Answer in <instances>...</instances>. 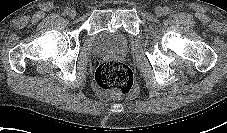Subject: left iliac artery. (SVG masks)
<instances>
[{
	"label": "left iliac artery",
	"mask_w": 227,
	"mask_h": 133,
	"mask_svg": "<svg viewBox=\"0 0 227 133\" xmlns=\"http://www.w3.org/2000/svg\"><path fill=\"white\" fill-rule=\"evenodd\" d=\"M170 13V9L169 8H165V14H169Z\"/></svg>",
	"instance_id": "1"
}]
</instances>
